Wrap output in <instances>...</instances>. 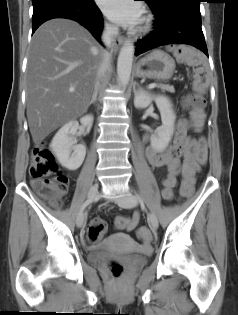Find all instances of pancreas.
I'll list each match as a JSON object with an SVG mask.
<instances>
[{
    "mask_svg": "<svg viewBox=\"0 0 238 315\" xmlns=\"http://www.w3.org/2000/svg\"><path fill=\"white\" fill-rule=\"evenodd\" d=\"M162 91H169L171 93L175 92V89L173 86L167 85V84H160L158 86Z\"/></svg>",
    "mask_w": 238,
    "mask_h": 315,
    "instance_id": "obj_1",
    "label": "pancreas"
}]
</instances>
